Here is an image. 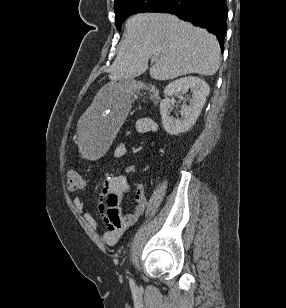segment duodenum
Segmentation results:
<instances>
[{
  "label": "duodenum",
  "instance_id": "1",
  "mask_svg": "<svg viewBox=\"0 0 286 308\" xmlns=\"http://www.w3.org/2000/svg\"><path fill=\"white\" fill-rule=\"evenodd\" d=\"M146 89L150 95L151 101L155 104L158 101V90L154 85L151 84H139L135 86L136 90Z\"/></svg>",
  "mask_w": 286,
  "mask_h": 308
}]
</instances>
